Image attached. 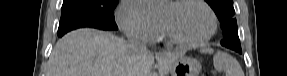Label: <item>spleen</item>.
Instances as JSON below:
<instances>
[{
	"instance_id": "1",
	"label": "spleen",
	"mask_w": 287,
	"mask_h": 76,
	"mask_svg": "<svg viewBox=\"0 0 287 76\" xmlns=\"http://www.w3.org/2000/svg\"><path fill=\"white\" fill-rule=\"evenodd\" d=\"M203 53L213 54L214 50L205 48L201 50ZM214 67L219 71H224L226 76H244L243 70L238 61L231 55L217 51L213 57Z\"/></svg>"
}]
</instances>
